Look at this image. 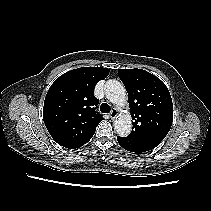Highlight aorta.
Returning a JSON list of instances; mask_svg holds the SVG:
<instances>
[{"instance_id": "1", "label": "aorta", "mask_w": 211, "mask_h": 211, "mask_svg": "<svg viewBox=\"0 0 211 211\" xmlns=\"http://www.w3.org/2000/svg\"><path fill=\"white\" fill-rule=\"evenodd\" d=\"M106 97L119 108L127 104L126 90L117 80H108L104 87ZM114 129L121 137H126L132 129V119L129 112H122L114 122Z\"/></svg>"}]
</instances>
